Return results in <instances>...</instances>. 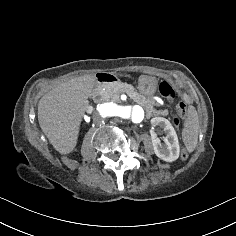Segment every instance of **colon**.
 <instances>
[{
    "label": "colon",
    "instance_id": "obj_1",
    "mask_svg": "<svg viewBox=\"0 0 236 236\" xmlns=\"http://www.w3.org/2000/svg\"><path fill=\"white\" fill-rule=\"evenodd\" d=\"M159 92H160L161 96L169 102H173L176 98L175 89L172 86V84L167 80H164L160 83ZM176 113H177V115L173 118V121L175 124H178L179 118L183 117L186 113V107L183 103H179L177 105Z\"/></svg>",
    "mask_w": 236,
    "mask_h": 236
}]
</instances>
